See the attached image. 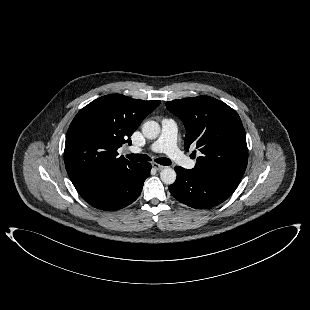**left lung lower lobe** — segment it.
I'll use <instances>...</instances> for the list:
<instances>
[{
    "instance_id": "left-lung-lower-lobe-1",
    "label": "left lung lower lobe",
    "mask_w": 310,
    "mask_h": 310,
    "mask_svg": "<svg viewBox=\"0 0 310 310\" xmlns=\"http://www.w3.org/2000/svg\"><path fill=\"white\" fill-rule=\"evenodd\" d=\"M176 181L169 186L170 193L180 202L197 209L219 205L232 195L238 184L225 179L175 167Z\"/></svg>"
}]
</instances>
